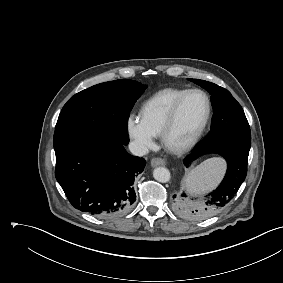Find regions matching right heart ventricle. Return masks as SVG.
<instances>
[{"label":"right heart ventricle","instance_id":"e07e8e85","mask_svg":"<svg viewBox=\"0 0 283 283\" xmlns=\"http://www.w3.org/2000/svg\"><path fill=\"white\" fill-rule=\"evenodd\" d=\"M185 91L187 89L165 88L143 102L140 109V120L152 135H160L172 106Z\"/></svg>","mask_w":283,"mask_h":283}]
</instances>
